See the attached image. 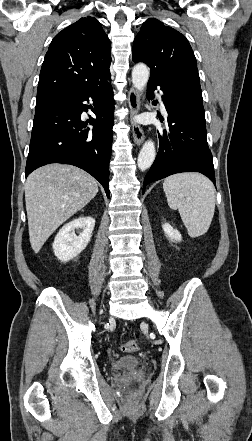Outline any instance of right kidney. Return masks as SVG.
I'll list each match as a JSON object with an SVG mask.
<instances>
[{
	"instance_id": "ca27d5eb",
	"label": "right kidney",
	"mask_w": 252,
	"mask_h": 441,
	"mask_svg": "<svg viewBox=\"0 0 252 441\" xmlns=\"http://www.w3.org/2000/svg\"><path fill=\"white\" fill-rule=\"evenodd\" d=\"M95 220L92 217H79L65 224L57 233L53 250L62 262H67L80 254L88 245L94 230ZM82 229L77 236L75 229Z\"/></svg>"
}]
</instances>
